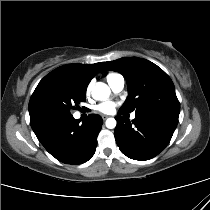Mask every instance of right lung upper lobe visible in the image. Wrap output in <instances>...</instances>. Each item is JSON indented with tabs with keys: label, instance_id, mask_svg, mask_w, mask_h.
<instances>
[{
	"label": "right lung upper lobe",
	"instance_id": "1",
	"mask_svg": "<svg viewBox=\"0 0 210 210\" xmlns=\"http://www.w3.org/2000/svg\"><path fill=\"white\" fill-rule=\"evenodd\" d=\"M103 62L96 64H67L46 75L36 87L34 93L43 85L53 81H67L87 88L91 79L99 72ZM31 96V97H32Z\"/></svg>",
	"mask_w": 210,
	"mask_h": 210
}]
</instances>
